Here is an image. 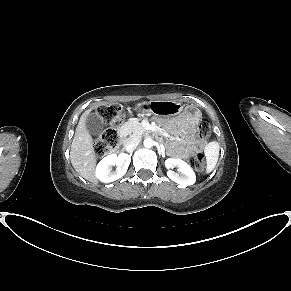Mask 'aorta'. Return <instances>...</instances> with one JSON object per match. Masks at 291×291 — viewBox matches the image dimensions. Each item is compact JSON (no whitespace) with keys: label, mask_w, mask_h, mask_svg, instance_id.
<instances>
[{"label":"aorta","mask_w":291,"mask_h":291,"mask_svg":"<svg viewBox=\"0 0 291 291\" xmlns=\"http://www.w3.org/2000/svg\"><path fill=\"white\" fill-rule=\"evenodd\" d=\"M143 144L146 148H151L153 146L154 142L151 138H146L144 140Z\"/></svg>","instance_id":"1"}]
</instances>
